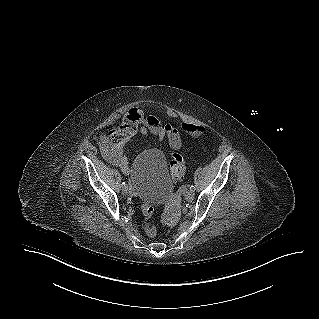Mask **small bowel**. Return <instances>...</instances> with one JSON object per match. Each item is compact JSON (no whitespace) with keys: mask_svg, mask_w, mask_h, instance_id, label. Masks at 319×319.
I'll use <instances>...</instances> for the list:
<instances>
[{"mask_svg":"<svg viewBox=\"0 0 319 319\" xmlns=\"http://www.w3.org/2000/svg\"><path fill=\"white\" fill-rule=\"evenodd\" d=\"M137 131L144 135L152 134L159 141L167 139L173 149L181 147V138L175 127L162 124L158 117L146 115L142 109L134 107L130 110L129 117L120 118L107 125L102 135V156L124 173L129 172L125 146Z\"/></svg>","mask_w":319,"mask_h":319,"instance_id":"obj_1","label":"small bowel"}]
</instances>
